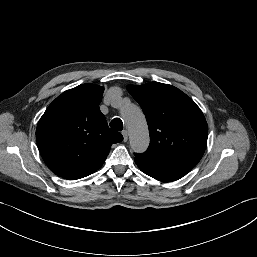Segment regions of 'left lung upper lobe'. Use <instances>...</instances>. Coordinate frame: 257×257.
Returning <instances> with one entry per match:
<instances>
[{
    "mask_svg": "<svg viewBox=\"0 0 257 257\" xmlns=\"http://www.w3.org/2000/svg\"><path fill=\"white\" fill-rule=\"evenodd\" d=\"M128 91L140 104L150 134L149 148L135 154V159L166 167L195 166L208 136L207 122L195 102L176 87L159 82L129 85Z\"/></svg>",
    "mask_w": 257,
    "mask_h": 257,
    "instance_id": "obj_1",
    "label": "left lung upper lobe"
}]
</instances>
